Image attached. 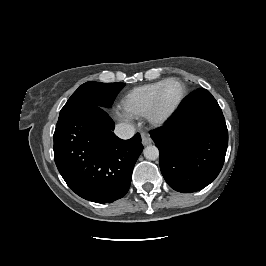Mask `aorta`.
<instances>
[{
	"mask_svg": "<svg viewBox=\"0 0 266 266\" xmlns=\"http://www.w3.org/2000/svg\"><path fill=\"white\" fill-rule=\"evenodd\" d=\"M144 157L148 160H156L159 158V150L154 145L147 146L144 151Z\"/></svg>",
	"mask_w": 266,
	"mask_h": 266,
	"instance_id": "aorta-1",
	"label": "aorta"
}]
</instances>
